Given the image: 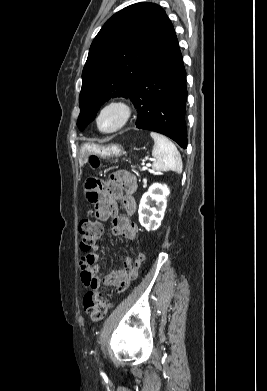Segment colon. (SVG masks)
Wrapping results in <instances>:
<instances>
[{
	"label": "colon",
	"instance_id": "1",
	"mask_svg": "<svg viewBox=\"0 0 267 391\" xmlns=\"http://www.w3.org/2000/svg\"><path fill=\"white\" fill-rule=\"evenodd\" d=\"M89 163L96 169L100 165V160L97 156L91 155ZM102 233L103 224L101 221L92 220L88 217L83 218L79 223L81 250L87 253L90 252L95 247V244ZM83 305L86 313L93 321L103 319L112 307V303L104 290L87 292L83 299Z\"/></svg>",
	"mask_w": 267,
	"mask_h": 391
}]
</instances>
